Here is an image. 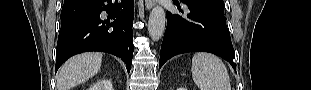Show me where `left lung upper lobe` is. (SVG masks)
<instances>
[{
    "mask_svg": "<svg viewBox=\"0 0 311 90\" xmlns=\"http://www.w3.org/2000/svg\"><path fill=\"white\" fill-rule=\"evenodd\" d=\"M182 2L197 4L224 13L223 0H182Z\"/></svg>",
    "mask_w": 311,
    "mask_h": 90,
    "instance_id": "obj_1",
    "label": "left lung upper lobe"
}]
</instances>
